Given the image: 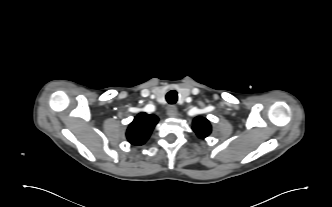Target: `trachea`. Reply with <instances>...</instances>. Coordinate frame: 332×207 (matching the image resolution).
I'll list each match as a JSON object with an SVG mask.
<instances>
[{"instance_id": "obj_1", "label": "trachea", "mask_w": 332, "mask_h": 207, "mask_svg": "<svg viewBox=\"0 0 332 207\" xmlns=\"http://www.w3.org/2000/svg\"><path fill=\"white\" fill-rule=\"evenodd\" d=\"M178 96L175 90H171L166 95V100L169 104H175L177 102Z\"/></svg>"}]
</instances>
